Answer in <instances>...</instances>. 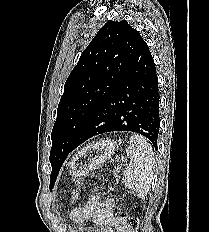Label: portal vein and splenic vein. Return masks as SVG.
Wrapping results in <instances>:
<instances>
[{
	"mask_svg": "<svg viewBox=\"0 0 209 232\" xmlns=\"http://www.w3.org/2000/svg\"><path fill=\"white\" fill-rule=\"evenodd\" d=\"M120 160H121V161H124L125 159H124V157H122Z\"/></svg>",
	"mask_w": 209,
	"mask_h": 232,
	"instance_id": "18ae733b",
	"label": "portal vein and splenic vein"
}]
</instances>
